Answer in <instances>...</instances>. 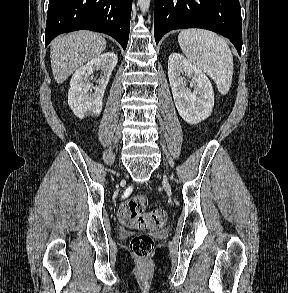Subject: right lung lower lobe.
<instances>
[{
	"label": "right lung lower lobe",
	"instance_id": "1",
	"mask_svg": "<svg viewBox=\"0 0 288 293\" xmlns=\"http://www.w3.org/2000/svg\"><path fill=\"white\" fill-rule=\"evenodd\" d=\"M132 0H49L45 45L61 33L80 29L115 38L125 50Z\"/></svg>",
	"mask_w": 288,
	"mask_h": 293
}]
</instances>
